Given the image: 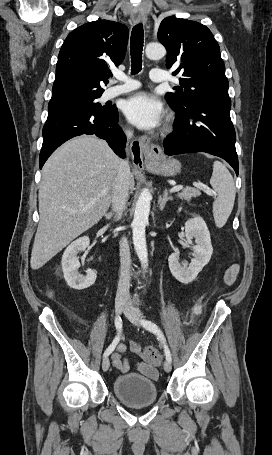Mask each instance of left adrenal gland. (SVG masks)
<instances>
[{
  "label": "left adrenal gland",
  "instance_id": "left-adrenal-gland-1",
  "mask_svg": "<svg viewBox=\"0 0 272 455\" xmlns=\"http://www.w3.org/2000/svg\"><path fill=\"white\" fill-rule=\"evenodd\" d=\"M172 196H168L167 189L164 191L163 196L159 197L158 204H159V209L162 211L166 205V203L170 200H172Z\"/></svg>",
  "mask_w": 272,
  "mask_h": 455
}]
</instances>
